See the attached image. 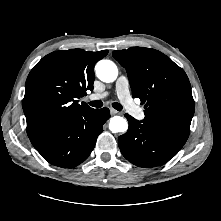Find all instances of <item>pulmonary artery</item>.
<instances>
[{"label":"pulmonary artery","mask_w":221,"mask_h":221,"mask_svg":"<svg viewBox=\"0 0 221 221\" xmlns=\"http://www.w3.org/2000/svg\"><path fill=\"white\" fill-rule=\"evenodd\" d=\"M116 93L119 100L127 107L130 112L138 119L143 117V111L134 103L129 92V82L128 79L121 75L118 77L116 83ZM107 95V93L102 94H92L89 96L91 100L102 99Z\"/></svg>","instance_id":"obj_1"}]
</instances>
